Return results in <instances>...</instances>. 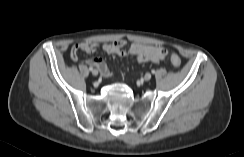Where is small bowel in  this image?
Returning a JSON list of instances; mask_svg holds the SVG:
<instances>
[{
  "label": "small bowel",
  "instance_id": "small-bowel-1",
  "mask_svg": "<svg viewBox=\"0 0 244 157\" xmlns=\"http://www.w3.org/2000/svg\"><path fill=\"white\" fill-rule=\"evenodd\" d=\"M98 48L102 49L107 54H116L121 57H127L132 55L135 57L137 62H153L160 63L163 61L168 52L165 48L156 45H144L140 43L128 44L124 39L115 40L113 42H107L99 44L94 41H84L77 43L73 46L71 51V58L73 61L78 59V52L85 51L87 53H93ZM90 66H94L100 70L104 77L110 76V70L103 58L94 57L87 60Z\"/></svg>",
  "mask_w": 244,
  "mask_h": 157
}]
</instances>
